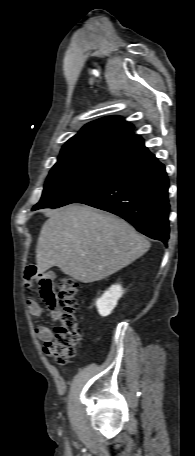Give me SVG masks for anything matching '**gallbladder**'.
Segmentation results:
<instances>
[{
  "label": "gallbladder",
  "instance_id": "gallbladder-1",
  "mask_svg": "<svg viewBox=\"0 0 195 456\" xmlns=\"http://www.w3.org/2000/svg\"><path fill=\"white\" fill-rule=\"evenodd\" d=\"M48 277L51 278V279L55 278L54 272H50V273L48 274Z\"/></svg>",
  "mask_w": 195,
  "mask_h": 456
}]
</instances>
